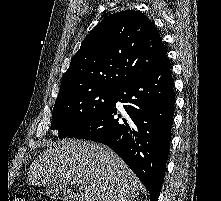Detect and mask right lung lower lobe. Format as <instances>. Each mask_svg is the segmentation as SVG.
Instances as JSON below:
<instances>
[{
  "instance_id": "1",
  "label": "right lung lower lobe",
  "mask_w": 221,
  "mask_h": 201,
  "mask_svg": "<svg viewBox=\"0 0 221 201\" xmlns=\"http://www.w3.org/2000/svg\"><path fill=\"white\" fill-rule=\"evenodd\" d=\"M123 104L120 112L116 106ZM175 95L168 59L152 72L115 89L110 105L67 137L97 141L114 150L157 201L171 139Z\"/></svg>"
}]
</instances>
